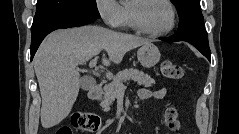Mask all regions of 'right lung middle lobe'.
I'll return each mask as SVG.
<instances>
[{"label":"right lung middle lobe","mask_w":239,"mask_h":134,"mask_svg":"<svg viewBox=\"0 0 239 134\" xmlns=\"http://www.w3.org/2000/svg\"><path fill=\"white\" fill-rule=\"evenodd\" d=\"M68 13L100 18L96 0H38L31 31L55 16Z\"/></svg>","instance_id":"obj_1"}]
</instances>
